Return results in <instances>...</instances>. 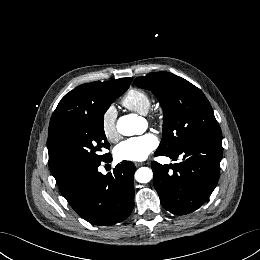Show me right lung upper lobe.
I'll return each mask as SVG.
<instances>
[{
	"instance_id": "right-lung-upper-lobe-1",
	"label": "right lung upper lobe",
	"mask_w": 260,
	"mask_h": 260,
	"mask_svg": "<svg viewBox=\"0 0 260 260\" xmlns=\"http://www.w3.org/2000/svg\"><path fill=\"white\" fill-rule=\"evenodd\" d=\"M131 83V78L93 82L82 84L66 94L56 107L49 124L48 153L49 168L56 179L61 183L68 173L64 170L60 158L59 138L82 113L87 111L95 97L104 92L126 91Z\"/></svg>"
}]
</instances>
